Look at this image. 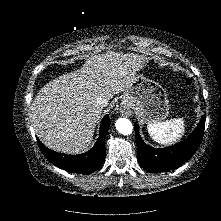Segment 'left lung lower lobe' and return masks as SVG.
Masks as SVG:
<instances>
[{"mask_svg": "<svg viewBox=\"0 0 221 221\" xmlns=\"http://www.w3.org/2000/svg\"><path fill=\"white\" fill-rule=\"evenodd\" d=\"M205 116L187 139L164 149H155L143 142L139 135L138 125H135L137 159L139 164L151 172L172 170L190 159L199 147L204 133Z\"/></svg>", "mask_w": 221, "mask_h": 221, "instance_id": "left-lung-lower-lobe-1", "label": "left lung lower lobe"}]
</instances>
